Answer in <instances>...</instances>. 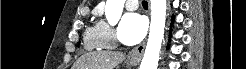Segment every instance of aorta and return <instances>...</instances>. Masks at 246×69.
<instances>
[{
	"instance_id": "762f6f07",
	"label": "aorta",
	"mask_w": 246,
	"mask_h": 69,
	"mask_svg": "<svg viewBox=\"0 0 246 69\" xmlns=\"http://www.w3.org/2000/svg\"><path fill=\"white\" fill-rule=\"evenodd\" d=\"M125 0H107L105 15L111 25H115L122 14ZM166 20V0H151V24L149 38L140 69H156Z\"/></svg>"
}]
</instances>
